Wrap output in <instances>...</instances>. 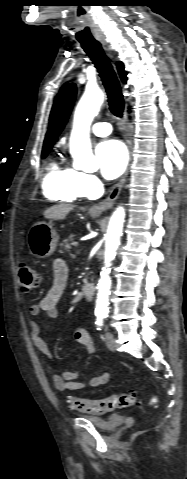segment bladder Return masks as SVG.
Here are the masks:
<instances>
[{"label":"bladder","mask_w":187,"mask_h":479,"mask_svg":"<svg viewBox=\"0 0 187 479\" xmlns=\"http://www.w3.org/2000/svg\"><path fill=\"white\" fill-rule=\"evenodd\" d=\"M81 417L90 421L101 431L109 432V431H112L117 426V422L113 417L99 418V417L88 415V414H83L81 415Z\"/></svg>","instance_id":"obj_1"}]
</instances>
